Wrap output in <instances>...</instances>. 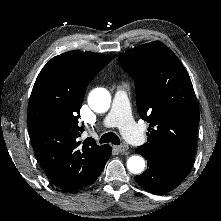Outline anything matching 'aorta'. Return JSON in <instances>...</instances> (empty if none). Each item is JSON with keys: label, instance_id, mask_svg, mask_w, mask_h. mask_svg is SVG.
<instances>
[{"label": "aorta", "instance_id": "762f6f07", "mask_svg": "<svg viewBox=\"0 0 221 221\" xmlns=\"http://www.w3.org/2000/svg\"><path fill=\"white\" fill-rule=\"evenodd\" d=\"M111 97L109 92L104 88H95L88 97L90 108L97 112L103 113L110 108ZM127 168L133 174H140L145 169V160L143 157L133 155L127 160Z\"/></svg>", "mask_w": 221, "mask_h": 221}]
</instances>
